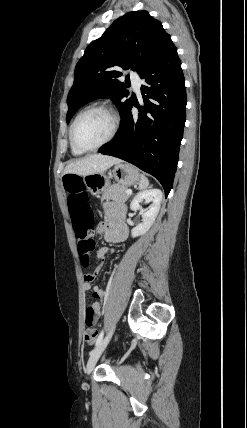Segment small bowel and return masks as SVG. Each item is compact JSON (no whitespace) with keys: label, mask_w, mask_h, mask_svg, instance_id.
Returning <instances> with one entry per match:
<instances>
[{"label":"small bowel","mask_w":247,"mask_h":428,"mask_svg":"<svg viewBox=\"0 0 247 428\" xmlns=\"http://www.w3.org/2000/svg\"><path fill=\"white\" fill-rule=\"evenodd\" d=\"M104 215H105L106 222L102 226V229L105 233L106 238L111 242L125 241L128 237L129 231H128L127 225L124 222V208L121 206L106 204L104 207ZM110 252H112L111 249L107 247H101L97 251V255H96L97 261L98 262L103 261ZM99 270H100V266H98L97 268V271ZM93 278H94V275L87 274L85 276L86 281L83 287L85 290H91L93 298H96L101 305V300L104 298V291L98 286H94L91 284L90 281ZM85 315H86V312H85ZM85 319H86V316H85Z\"/></svg>","instance_id":"1"}]
</instances>
